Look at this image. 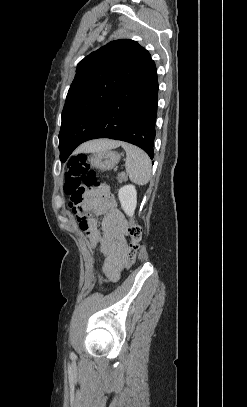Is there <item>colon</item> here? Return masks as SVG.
<instances>
[{
    "instance_id": "colon-1",
    "label": "colon",
    "mask_w": 247,
    "mask_h": 407,
    "mask_svg": "<svg viewBox=\"0 0 247 407\" xmlns=\"http://www.w3.org/2000/svg\"><path fill=\"white\" fill-rule=\"evenodd\" d=\"M65 177L64 191L74 204H80L83 201L86 189L100 186L96 172L88 164L85 154H78L70 159L66 167ZM126 230L131 238L126 264V268L129 269L136 261L142 229L138 224L129 219L126 220ZM99 281L103 283L104 279L100 276Z\"/></svg>"
}]
</instances>
